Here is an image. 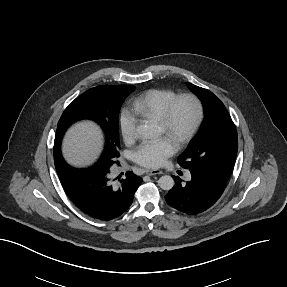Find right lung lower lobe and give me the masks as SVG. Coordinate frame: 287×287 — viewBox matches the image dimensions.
<instances>
[{
	"label": "right lung lower lobe",
	"instance_id": "98d812e1",
	"mask_svg": "<svg viewBox=\"0 0 287 287\" xmlns=\"http://www.w3.org/2000/svg\"><path fill=\"white\" fill-rule=\"evenodd\" d=\"M61 184L74 204L84 213L98 220H112L122 215L132 204L134 194L143 181L132 172L119 184L109 177V169L95 165L76 169L61 160L55 164Z\"/></svg>",
	"mask_w": 287,
	"mask_h": 287
}]
</instances>
